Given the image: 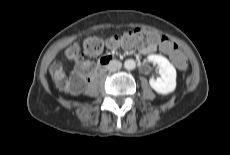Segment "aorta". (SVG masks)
I'll use <instances>...</instances> for the list:
<instances>
[{"label": "aorta", "mask_w": 230, "mask_h": 155, "mask_svg": "<svg viewBox=\"0 0 230 155\" xmlns=\"http://www.w3.org/2000/svg\"><path fill=\"white\" fill-rule=\"evenodd\" d=\"M124 67L127 70H133L136 67V62L133 59H128L124 62Z\"/></svg>", "instance_id": "aorta-1"}]
</instances>
